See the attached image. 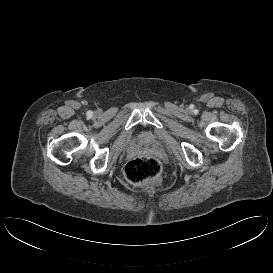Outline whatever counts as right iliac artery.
<instances>
[{
	"mask_svg": "<svg viewBox=\"0 0 273 273\" xmlns=\"http://www.w3.org/2000/svg\"><path fill=\"white\" fill-rule=\"evenodd\" d=\"M87 115L92 116V112L91 111L87 112Z\"/></svg>",
	"mask_w": 273,
	"mask_h": 273,
	"instance_id": "obj_1",
	"label": "right iliac artery"
}]
</instances>
